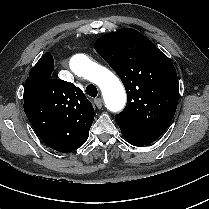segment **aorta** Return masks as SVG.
Returning <instances> with one entry per match:
<instances>
[{
  "label": "aorta",
  "mask_w": 209,
  "mask_h": 209,
  "mask_svg": "<svg viewBox=\"0 0 209 209\" xmlns=\"http://www.w3.org/2000/svg\"><path fill=\"white\" fill-rule=\"evenodd\" d=\"M71 70L95 83L101 89L107 108L112 112L121 110L126 101L120 80L107 68L91 61L85 54H76L70 59Z\"/></svg>",
  "instance_id": "762f6f07"
}]
</instances>
